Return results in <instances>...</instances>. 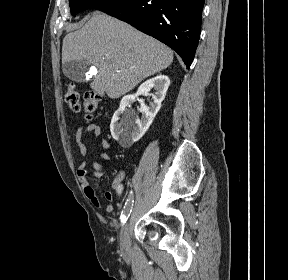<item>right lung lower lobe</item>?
<instances>
[{
	"label": "right lung lower lobe",
	"instance_id": "1",
	"mask_svg": "<svg viewBox=\"0 0 288 280\" xmlns=\"http://www.w3.org/2000/svg\"><path fill=\"white\" fill-rule=\"evenodd\" d=\"M205 0H117L97 7L160 40L190 67L198 46Z\"/></svg>",
	"mask_w": 288,
	"mask_h": 280
}]
</instances>
